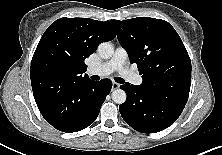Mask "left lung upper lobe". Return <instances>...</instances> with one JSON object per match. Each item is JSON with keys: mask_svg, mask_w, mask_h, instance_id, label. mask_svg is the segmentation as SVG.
Returning <instances> with one entry per match:
<instances>
[{"mask_svg": "<svg viewBox=\"0 0 222 155\" xmlns=\"http://www.w3.org/2000/svg\"><path fill=\"white\" fill-rule=\"evenodd\" d=\"M117 38L136 63L143 90L186 104L191 60L178 33L168 22L149 17L112 20Z\"/></svg>", "mask_w": 222, "mask_h": 155, "instance_id": "obj_1", "label": "left lung upper lobe"}]
</instances>
